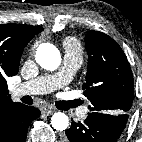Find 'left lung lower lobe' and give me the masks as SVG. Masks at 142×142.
<instances>
[{
	"label": "left lung lower lobe",
	"mask_w": 142,
	"mask_h": 142,
	"mask_svg": "<svg viewBox=\"0 0 142 142\" xmlns=\"http://www.w3.org/2000/svg\"><path fill=\"white\" fill-rule=\"evenodd\" d=\"M128 114L91 112L84 122H73L65 132V142H116L122 134Z\"/></svg>",
	"instance_id": "obj_1"
}]
</instances>
